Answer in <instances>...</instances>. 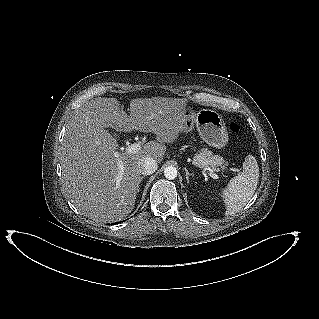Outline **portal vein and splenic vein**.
I'll return each instance as SVG.
<instances>
[{
  "label": "portal vein and splenic vein",
  "mask_w": 319,
  "mask_h": 319,
  "mask_svg": "<svg viewBox=\"0 0 319 319\" xmlns=\"http://www.w3.org/2000/svg\"><path fill=\"white\" fill-rule=\"evenodd\" d=\"M141 143H133L131 145H128L125 149V153L127 154H135L137 152H139L141 150ZM118 167H119V173H118V176H117V181L119 182L123 175H124V165L121 161L118 162ZM237 172H239L238 170H235ZM210 177H212L213 179H218V175L215 174L212 170H209V173Z\"/></svg>",
  "instance_id": "18ae733b"
}]
</instances>
